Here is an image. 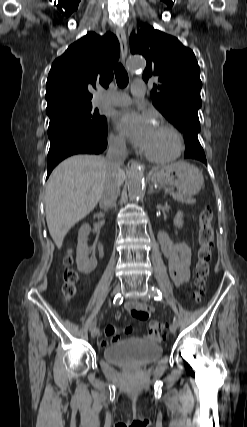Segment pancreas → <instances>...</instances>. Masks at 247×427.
Segmentation results:
<instances>
[{"label": "pancreas", "instance_id": "obj_1", "mask_svg": "<svg viewBox=\"0 0 247 427\" xmlns=\"http://www.w3.org/2000/svg\"><path fill=\"white\" fill-rule=\"evenodd\" d=\"M173 198L179 202H186L188 200V198H186L185 196H183L180 193H178V194L173 193Z\"/></svg>", "mask_w": 247, "mask_h": 427}]
</instances>
